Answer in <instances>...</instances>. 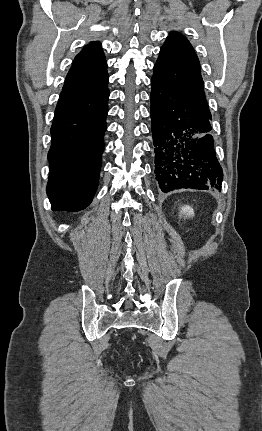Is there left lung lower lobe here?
Wrapping results in <instances>:
<instances>
[{
  "mask_svg": "<svg viewBox=\"0 0 262 431\" xmlns=\"http://www.w3.org/2000/svg\"><path fill=\"white\" fill-rule=\"evenodd\" d=\"M150 99L155 174L162 192L220 191L223 173L211 135V115L156 79L151 80Z\"/></svg>",
  "mask_w": 262,
  "mask_h": 431,
  "instance_id": "obj_1",
  "label": "left lung lower lobe"
}]
</instances>
